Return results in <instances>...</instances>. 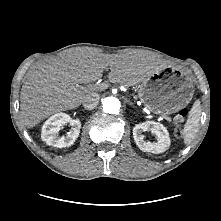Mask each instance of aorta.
<instances>
[{
  "label": "aorta",
  "mask_w": 221,
  "mask_h": 221,
  "mask_svg": "<svg viewBox=\"0 0 221 221\" xmlns=\"http://www.w3.org/2000/svg\"><path fill=\"white\" fill-rule=\"evenodd\" d=\"M102 106L104 112L117 114L120 110V101L113 96L106 97L102 101Z\"/></svg>",
  "instance_id": "aorta-1"
}]
</instances>
